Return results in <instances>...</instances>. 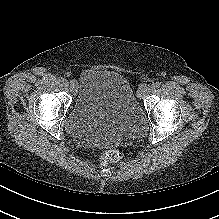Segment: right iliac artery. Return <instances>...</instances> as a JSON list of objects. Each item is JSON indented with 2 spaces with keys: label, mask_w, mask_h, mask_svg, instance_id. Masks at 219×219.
<instances>
[{
  "label": "right iliac artery",
  "mask_w": 219,
  "mask_h": 219,
  "mask_svg": "<svg viewBox=\"0 0 219 219\" xmlns=\"http://www.w3.org/2000/svg\"><path fill=\"white\" fill-rule=\"evenodd\" d=\"M58 80H59L60 82H64V81H66L65 78L62 77V76H60V77L58 78Z\"/></svg>",
  "instance_id": "right-iliac-artery-1"
}]
</instances>
